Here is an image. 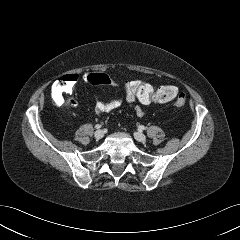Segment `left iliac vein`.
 <instances>
[{
  "mask_svg": "<svg viewBox=\"0 0 240 240\" xmlns=\"http://www.w3.org/2000/svg\"><path fill=\"white\" fill-rule=\"evenodd\" d=\"M134 137L139 142H145L146 141V136L141 132H135Z\"/></svg>",
  "mask_w": 240,
  "mask_h": 240,
  "instance_id": "left-iliac-vein-1",
  "label": "left iliac vein"
}]
</instances>
